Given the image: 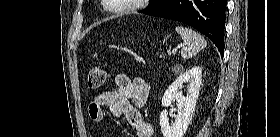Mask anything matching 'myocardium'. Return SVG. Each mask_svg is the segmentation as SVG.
<instances>
[{"label":"myocardium","mask_w":280,"mask_h":137,"mask_svg":"<svg viewBox=\"0 0 280 137\" xmlns=\"http://www.w3.org/2000/svg\"><path fill=\"white\" fill-rule=\"evenodd\" d=\"M104 2H107V1H104ZM141 2H144V0H133L129 5H127L123 8H119V9H113L108 4H104V7L113 13H128V12L138 9Z\"/></svg>","instance_id":"1"}]
</instances>
